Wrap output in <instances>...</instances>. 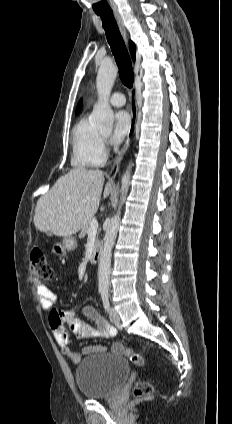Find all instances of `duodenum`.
Masks as SVG:
<instances>
[{"instance_id":"410a0bca","label":"duodenum","mask_w":232,"mask_h":424,"mask_svg":"<svg viewBox=\"0 0 232 424\" xmlns=\"http://www.w3.org/2000/svg\"><path fill=\"white\" fill-rule=\"evenodd\" d=\"M101 251H102V246L100 243L96 244L92 254H91V258H90V262L91 264H97L100 260V256H101Z\"/></svg>"}]
</instances>
